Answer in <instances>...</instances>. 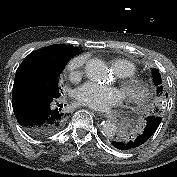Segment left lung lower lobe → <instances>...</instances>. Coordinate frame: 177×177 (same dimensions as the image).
<instances>
[{"label": "left lung lower lobe", "mask_w": 177, "mask_h": 177, "mask_svg": "<svg viewBox=\"0 0 177 177\" xmlns=\"http://www.w3.org/2000/svg\"><path fill=\"white\" fill-rule=\"evenodd\" d=\"M162 118L159 115L151 114L145 123V128L137 137H119L112 141L115 148L119 150H133L142 146L156 131Z\"/></svg>", "instance_id": "obj_1"}]
</instances>
